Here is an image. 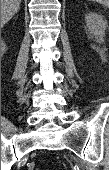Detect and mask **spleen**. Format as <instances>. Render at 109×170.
Masks as SVG:
<instances>
[{
	"mask_svg": "<svg viewBox=\"0 0 109 170\" xmlns=\"http://www.w3.org/2000/svg\"><path fill=\"white\" fill-rule=\"evenodd\" d=\"M89 1L98 2V3L103 4L105 6L109 5V0H89Z\"/></svg>",
	"mask_w": 109,
	"mask_h": 170,
	"instance_id": "3e777b00",
	"label": "spleen"
}]
</instances>
